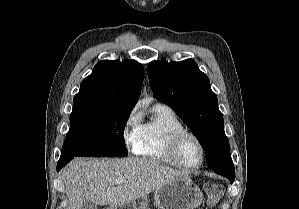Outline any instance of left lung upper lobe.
I'll use <instances>...</instances> for the list:
<instances>
[{
  "instance_id": "left-lung-upper-lobe-1",
  "label": "left lung upper lobe",
  "mask_w": 299,
  "mask_h": 209,
  "mask_svg": "<svg viewBox=\"0 0 299 209\" xmlns=\"http://www.w3.org/2000/svg\"><path fill=\"white\" fill-rule=\"evenodd\" d=\"M154 97L170 106L190 127L205 149L210 169L230 158L223 115L209 78L192 59L181 62L153 61L147 66Z\"/></svg>"
}]
</instances>
